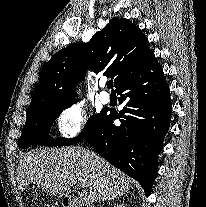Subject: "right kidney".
<instances>
[{
    "mask_svg": "<svg viewBox=\"0 0 206 207\" xmlns=\"http://www.w3.org/2000/svg\"><path fill=\"white\" fill-rule=\"evenodd\" d=\"M117 207H127L126 204H120V205H117Z\"/></svg>",
    "mask_w": 206,
    "mask_h": 207,
    "instance_id": "obj_1",
    "label": "right kidney"
}]
</instances>
